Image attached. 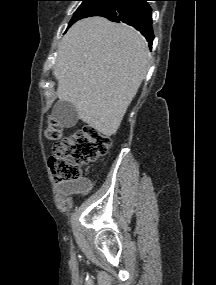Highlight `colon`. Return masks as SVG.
<instances>
[{"label":"colon","instance_id":"1","mask_svg":"<svg viewBox=\"0 0 216 285\" xmlns=\"http://www.w3.org/2000/svg\"><path fill=\"white\" fill-rule=\"evenodd\" d=\"M46 135L54 141L49 166L58 182H77L81 167L107 154L111 140L97 129L85 126L67 137H61L60 125L50 120Z\"/></svg>","mask_w":216,"mask_h":285}]
</instances>
